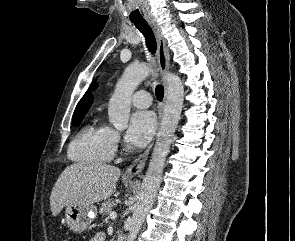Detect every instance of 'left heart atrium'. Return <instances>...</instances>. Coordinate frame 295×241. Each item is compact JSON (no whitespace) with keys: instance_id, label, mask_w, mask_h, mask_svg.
Wrapping results in <instances>:
<instances>
[{"instance_id":"left-heart-atrium-1","label":"left heart atrium","mask_w":295,"mask_h":241,"mask_svg":"<svg viewBox=\"0 0 295 241\" xmlns=\"http://www.w3.org/2000/svg\"><path fill=\"white\" fill-rule=\"evenodd\" d=\"M155 128L154 115L148 111H138L130 119L126 138L133 146L143 147L151 140Z\"/></svg>"}]
</instances>
